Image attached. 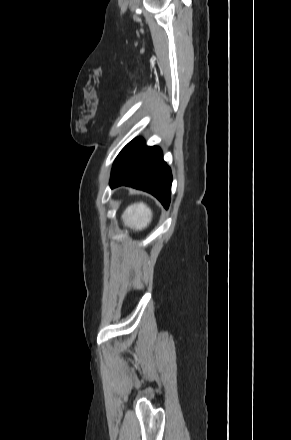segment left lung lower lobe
<instances>
[{"label":"left lung lower lobe","instance_id":"obj_1","mask_svg":"<svg viewBox=\"0 0 291 440\" xmlns=\"http://www.w3.org/2000/svg\"><path fill=\"white\" fill-rule=\"evenodd\" d=\"M172 175L158 147H149L141 138L128 143L115 159L110 186H131L154 195L167 209Z\"/></svg>","mask_w":291,"mask_h":440}]
</instances>
